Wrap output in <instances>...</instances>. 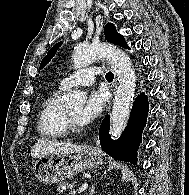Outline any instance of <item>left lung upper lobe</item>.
<instances>
[{"label": "left lung upper lobe", "mask_w": 189, "mask_h": 195, "mask_svg": "<svg viewBox=\"0 0 189 195\" xmlns=\"http://www.w3.org/2000/svg\"><path fill=\"white\" fill-rule=\"evenodd\" d=\"M104 30H105V38L109 42H112L113 44L122 46V47H124L126 49H130L127 46V43L125 42L124 37L115 30V26L113 24L108 23L105 26V29ZM61 44H62V42L57 43L55 46H53L49 50L47 56L42 60L40 69H42L45 66V64H47L50 61V59L55 55L56 51L61 46Z\"/></svg>", "instance_id": "1"}]
</instances>
